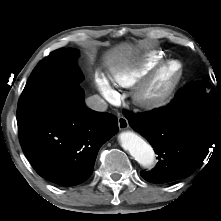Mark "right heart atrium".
Wrapping results in <instances>:
<instances>
[{
	"mask_svg": "<svg viewBox=\"0 0 221 221\" xmlns=\"http://www.w3.org/2000/svg\"><path fill=\"white\" fill-rule=\"evenodd\" d=\"M96 84L101 94L109 101L115 100L117 92L113 88L110 80L104 74H97Z\"/></svg>",
	"mask_w": 221,
	"mask_h": 221,
	"instance_id": "right-heart-atrium-1",
	"label": "right heart atrium"
}]
</instances>
